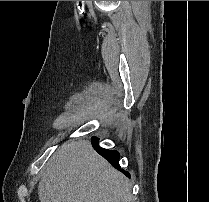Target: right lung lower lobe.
Listing matches in <instances>:
<instances>
[{"instance_id": "98d812e1", "label": "right lung lower lobe", "mask_w": 209, "mask_h": 202, "mask_svg": "<svg viewBox=\"0 0 209 202\" xmlns=\"http://www.w3.org/2000/svg\"><path fill=\"white\" fill-rule=\"evenodd\" d=\"M92 141V146L96 149V151L103 156L105 159L108 160V162L115 167L116 169L121 170L123 173H125L128 177H130L129 173L123 171L119 165V158L120 155L117 151H110L104 148H101L98 143V138L97 137H92L91 138Z\"/></svg>"}]
</instances>
